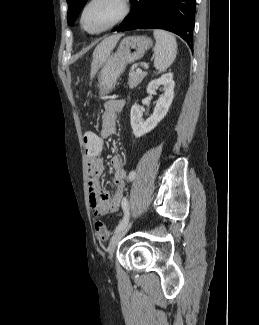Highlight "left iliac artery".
Returning a JSON list of instances; mask_svg holds the SVG:
<instances>
[{"instance_id": "1", "label": "left iliac artery", "mask_w": 259, "mask_h": 325, "mask_svg": "<svg viewBox=\"0 0 259 325\" xmlns=\"http://www.w3.org/2000/svg\"><path fill=\"white\" fill-rule=\"evenodd\" d=\"M135 176H136L135 171H131L128 175L129 181H132L135 178ZM122 208H123L124 216L123 219L118 224V226L116 227L115 232L121 230L128 223L129 220V203L126 198H124L122 201Z\"/></svg>"}]
</instances>
